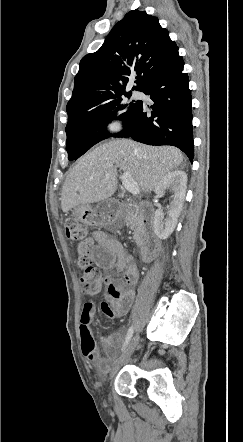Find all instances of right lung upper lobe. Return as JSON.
Wrapping results in <instances>:
<instances>
[{"label": "right lung upper lobe", "instance_id": "right-lung-upper-lobe-1", "mask_svg": "<svg viewBox=\"0 0 243 442\" xmlns=\"http://www.w3.org/2000/svg\"><path fill=\"white\" fill-rule=\"evenodd\" d=\"M178 50L158 18L138 9L128 12L100 49L85 55L67 104L68 119L126 93L134 73L140 90L151 74ZM131 92V91H130Z\"/></svg>", "mask_w": 243, "mask_h": 442}]
</instances>
